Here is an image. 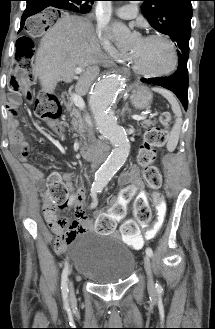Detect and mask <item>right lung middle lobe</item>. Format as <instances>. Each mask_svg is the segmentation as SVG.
I'll return each mask as SVG.
<instances>
[{"instance_id": "dd1d6c3e", "label": "right lung middle lobe", "mask_w": 215, "mask_h": 329, "mask_svg": "<svg viewBox=\"0 0 215 329\" xmlns=\"http://www.w3.org/2000/svg\"><path fill=\"white\" fill-rule=\"evenodd\" d=\"M90 2L86 0H67L65 4L70 10L82 14H86L91 10Z\"/></svg>"}]
</instances>
